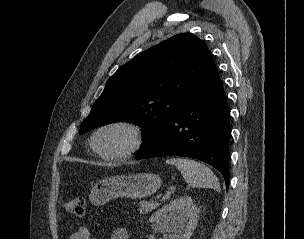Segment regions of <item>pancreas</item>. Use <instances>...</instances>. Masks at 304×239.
Masks as SVG:
<instances>
[{
    "label": "pancreas",
    "mask_w": 304,
    "mask_h": 239,
    "mask_svg": "<svg viewBox=\"0 0 304 239\" xmlns=\"http://www.w3.org/2000/svg\"><path fill=\"white\" fill-rule=\"evenodd\" d=\"M158 204L156 202L150 201V202H141L139 205V211L141 214H146L148 212H152Z\"/></svg>",
    "instance_id": "pancreas-1"
}]
</instances>
